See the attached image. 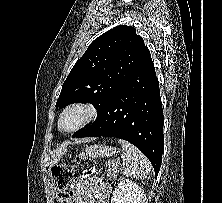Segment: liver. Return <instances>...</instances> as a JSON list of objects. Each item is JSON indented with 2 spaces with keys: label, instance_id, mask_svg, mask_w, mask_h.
Returning <instances> with one entry per match:
<instances>
[{
  "label": "liver",
  "instance_id": "1",
  "mask_svg": "<svg viewBox=\"0 0 222 203\" xmlns=\"http://www.w3.org/2000/svg\"><path fill=\"white\" fill-rule=\"evenodd\" d=\"M67 145L68 143H64L61 147L57 148L54 151V154L52 156V160L50 163V167L54 166L62 158V156L65 154L67 150Z\"/></svg>",
  "mask_w": 222,
  "mask_h": 203
}]
</instances>
